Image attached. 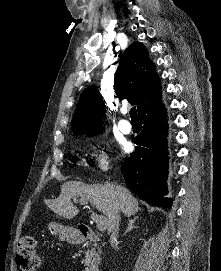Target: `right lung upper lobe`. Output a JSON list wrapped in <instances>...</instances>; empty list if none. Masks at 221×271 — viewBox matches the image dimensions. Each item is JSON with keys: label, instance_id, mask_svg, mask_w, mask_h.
<instances>
[{"label": "right lung upper lobe", "instance_id": "cb5924a9", "mask_svg": "<svg viewBox=\"0 0 221 271\" xmlns=\"http://www.w3.org/2000/svg\"><path fill=\"white\" fill-rule=\"evenodd\" d=\"M115 90L119 97L137 105L139 116L160 105V80L141 42H133L124 51L115 74ZM104 114V101L95 87L86 88L73 117V132L80 135L101 131Z\"/></svg>", "mask_w": 221, "mask_h": 271}]
</instances>
